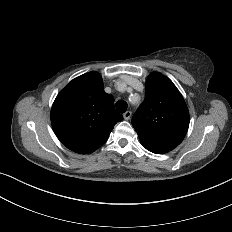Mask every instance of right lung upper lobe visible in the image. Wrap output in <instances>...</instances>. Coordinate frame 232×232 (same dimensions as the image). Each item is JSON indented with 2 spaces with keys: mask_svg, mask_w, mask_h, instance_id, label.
Segmentation results:
<instances>
[{
  "mask_svg": "<svg viewBox=\"0 0 232 232\" xmlns=\"http://www.w3.org/2000/svg\"><path fill=\"white\" fill-rule=\"evenodd\" d=\"M123 116L114 98L104 91L102 77L91 71L73 79L57 95L51 123L58 139L70 150L90 154L101 147Z\"/></svg>",
  "mask_w": 232,
  "mask_h": 232,
  "instance_id": "obj_1",
  "label": "right lung upper lobe"
}]
</instances>
